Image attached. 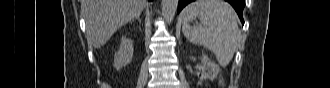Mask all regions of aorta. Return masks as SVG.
Instances as JSON below:
<instances>
[{
  "label": "aorta",
  "instance_id": "762f6f07",
  "mask_svg": "<svg viewBox=\"0 0 330 88\" xmlns=\"http://www.w3.org/2000/svg\"><path fill=\"white\" fill-rule=\"evenodd\" d=\"M178 0H162V15L167 22H172L177 11Z\"/></svg>",
  "mask_w": 330,
  "mask_h": 88
}]
</instances>
